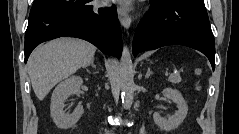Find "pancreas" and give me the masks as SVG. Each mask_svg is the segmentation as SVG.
Listing matches in <instances>:
<instances>
[{"label":"pancreas","instance_id":"pancreas-1","mask_svg":"<svg viewBox=\"0 0 239 134\" xmlns=\"http://www.w3.org/2000/svg\"><path fill=\"white\" fill-rule=\"evenodd\" d=\"M168 80L172 83V84H177L181 81V77L180 74H171L168 78Z\"/></svg>","mask_w":239,"mask_h":134}]
</instances>
